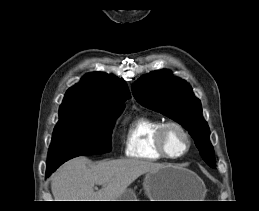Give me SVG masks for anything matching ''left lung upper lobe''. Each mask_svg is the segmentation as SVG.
<instances>
[{
  "instance_id": "1",
  "label": "left lung upper lobe",
  "mask_w": 259,
  "mask_h": 211,
  "mask_svg": "<svg viewBox=\"0 0 259 211\" xmlns=\"http://www.w3.org/2000/svg\"><path fill=\"white\" fill-rule=\"evenodd\" d=\"M135 98L144 106L175 120L188 130L202 158L215 168L210 130L202 116L201 103L184 80L162 70L142 77L132 86Z\"/></svg>"
}]
</instances>
